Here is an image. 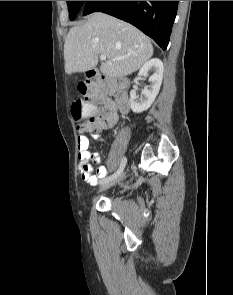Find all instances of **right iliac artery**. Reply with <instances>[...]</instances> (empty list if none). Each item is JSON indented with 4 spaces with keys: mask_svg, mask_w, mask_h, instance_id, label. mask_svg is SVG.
<instances>
[{
    "mask_svg": "<svg viewBox=\"0 0 233 295\" xmlns=\"http://www.w3.org/2000/svg\"><path fill=\"white\" fill-rule=\"evenodd\" d=\"M126 163H127V159L124 157L122 159V161H121V164H120L119 169L114 174H112L111 176L107 177V179L108 180H111V179L117 177L118 175H120L122 173L123 169L125 168Z\"/></svg>",
    "mask_w": 233,
    "mask_h": 295,
    "instance_id": "right-iliac-artery-1",
    "label": "right iliac artery"
}]
</instances>
